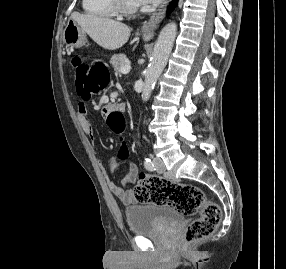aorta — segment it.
I'll list each match as a JSON object with an SVG mask.
<instances>
[{
    "label": "aorta",
    "mask_w": 286,
    "mask_h": 269,
    "mask_svg": "<svg viewBox=\"0 0 286 269\" xmlns=\"http://www.w3.org/2000/svg\"><path fill=\"white\" fill-rule=\"evenodd\" d=\"M177 35V25L172 22L167 24L160 32L155 43L152 59L145 73V82L142 91V100L147 101L157 79L167 64L175 38Z\"/></svg>",
    "instance_id": "obj_1"
}]
</instances>
